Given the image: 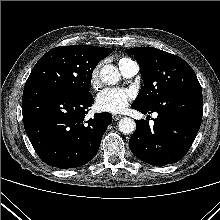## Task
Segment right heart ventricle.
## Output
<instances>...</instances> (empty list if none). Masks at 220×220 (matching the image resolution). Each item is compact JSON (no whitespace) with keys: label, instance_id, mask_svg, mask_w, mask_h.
I'll use <instances>...</instances> for the list:
<instances>
[{"label":"right heart ventricle","instance_id":"1","mask_svg":"<svg viewBox=\"0 0 220 220\" xmlns=\"http://www.w3.org/2000/svg\"><path fill=\"white\" fill-rule=\"evenodd\" d=\"M129 61H131V60L128 59V58H122V59H120V61H119V67H121L123 64H125V63H127V62H129Z\"/></svg>","mask_w":220,"mask_h":220}]
</instances>
